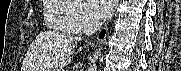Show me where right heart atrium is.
<instances>
[{
	"instance_id": "1",
	"label": "right heart atrium",
	"mask_w": 181,
	"mask_h": 71,
	"mask_svg": "<svg viewBox=\"0 0 181 71\" xmlns=\"http://www.w3.org/2000/svg\"><path fill=\"white\" fill-rule=\"evenodd\" d=\"M68 5L71 9L66 14L70 32L82 33L95 25V19L82 0H57Z\"/></svg>"
}]
</instances>
